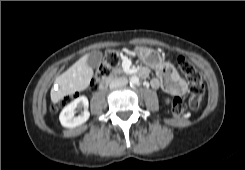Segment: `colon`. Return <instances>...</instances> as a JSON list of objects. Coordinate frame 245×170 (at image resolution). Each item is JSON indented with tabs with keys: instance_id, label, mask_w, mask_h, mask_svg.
Listing matches in <instances>:
<instances>
[{
	"instance_id": "1",
	"label": "colon",
	"mask_w": 245,
	"mask_h": 170,
	"mask_svg": "<svg viewBox=\"0 0 245 170\" xmlns=\"http://www.w3.org/2000/svg\"><path fill=\"white\" fill-rule=\"evenodd\" d=\"M117 64V54L115 51L108 50L105 54L103 62L100 64L97 72V76L94 79V84H97L99 80L107 76L112 68ZM178 64L181 72L191 82V96L189 98V107L197 109L200 105L201 99L205 92V84L201 74L196 70L193 64L184 57L178 59ZM75 98V95H68L64 97L60 103L52 106V110L55 112L60 107L67 105ZM186 108V104L181 97H175L172 105V114L174 117H181Z\"/></svg>"
}]
</instances>
